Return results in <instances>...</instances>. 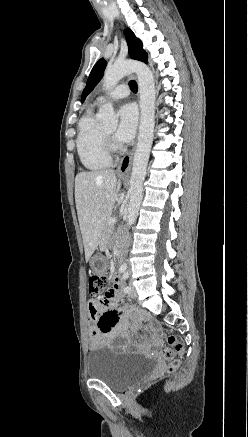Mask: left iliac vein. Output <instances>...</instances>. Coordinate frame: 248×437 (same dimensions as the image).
Segmentation results:
<instances>
[{
    "instance_id": "1",
    "label": "left iliac vein",
    "mask_w": 248,
    "mask_h": 437,
    "mask_svg": "<svg viewBox=\"0 0 248 437\" xmlns=\"http://www.w3.org/2000/svg\"><path fill=\"white\" fill-rule=\"evenodd\" d=\"M130 292H129V296L131 297V298H136L137 297V292H136V289H135V287L132 285V284H130Z\"/></svg>"
}]
</instances>
